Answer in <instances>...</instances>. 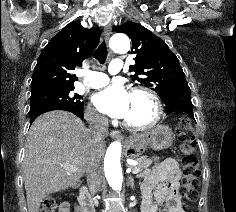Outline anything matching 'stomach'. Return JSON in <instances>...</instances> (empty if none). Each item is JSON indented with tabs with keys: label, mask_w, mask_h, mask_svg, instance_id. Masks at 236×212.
Here are the masks:
<instances>
[{
	"label": "stomach",
	"mask_w": 236,
	"mask_h": 212,
	"mask_svg": "<svg viewBox=\"0 0 236 212\" xmlns=\"http://www.w3.org/2000/svg\"><path fill=\"white\" fill-rule=\"evenodd\" d=\"M174 140L172 130L166 125H157L153 129L134 134L129 137L126 145V153L129 157H137L147 148L155 151L169 148Z\"/></svg>",
	"instance_id": "obj_1"
}]
</instances>
